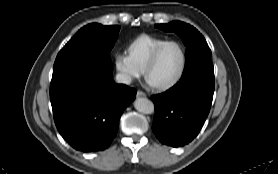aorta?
I'll return each mask as SVG.
<instances>
[{"label":"aorta","mask_w":278,"mask_h":174,"mask_svg":"<svg viewBox=\"0 0 278 174\" xmlns=\"http://www.w3.org/2000/svg\"><path fill=\"white\" fill-rule=\"evenodd\" d=\"M134 108L142 113H150L153 109L152 103L143 97H137L133 102Z\"/></svg>","instance_id":"762f6f07"}]
</instances>
